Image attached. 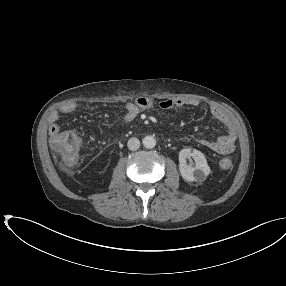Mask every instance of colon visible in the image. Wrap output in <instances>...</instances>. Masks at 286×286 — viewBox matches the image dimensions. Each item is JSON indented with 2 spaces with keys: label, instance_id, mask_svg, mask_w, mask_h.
<instances>
[{
  "label": "colon",
  "instance_id": "colon-1",
  "mask_svg": "<svg viewBox=\"0 0 286 286\" xmlns=\"http://www.w3.org/2000/svg\"><path fill=\"white\" fill-rule=\"evenodd\" d=\"M51 144L63 164L72 166L78 161L81 140L76 133L67 131L54 134L51 137ZM220 166L223 169H230L233 161L230 158H224L220 161Z\"/></svg>",
  "mask_w": 286,
  "mask_h": 286
}]
</instances>
